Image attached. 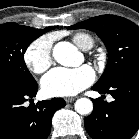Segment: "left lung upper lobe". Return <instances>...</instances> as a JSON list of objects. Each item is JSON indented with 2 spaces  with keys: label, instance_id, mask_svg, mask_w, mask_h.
Here are the masks:
<instances>
[{
  "label": "left lung upper lobe",
  "instance_id": "5c2ea615",
  "mask_svg": "<svg viewBox=\"0 0 139 139\" xmlns=\"http://www.w3.org/2000/svg\"><path fill=\"white\" fill-rule=\"evenodd\" d=\"M80 28L94 31L108 50L105 71L95 85L107 87L128 69L139 66V27L133 22L115 15H101L68 27Z\"/></svg>",
  "mask_w": 139,
  "mask_h": 139
}]
</instances>
